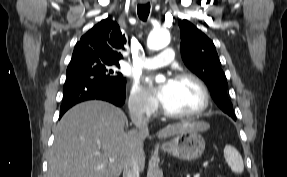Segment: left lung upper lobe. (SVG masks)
Wrapping results in <instances>:
<instances>
[{
    "mask_svg": "<svg viewBox=\"0 0 287 177\" xmlns=\"http://www.w3.org/2000/svg\"><path fill=\"white\" fill-rule=\"evenodd\" d=\"M178 23L181 28L180 49L185 65L206 83L219 108L235 117L227 95V79L213 42L189 21Z\"/></svg>",
    "mask_w": 287,
    "mask_h": 177,
    "instance_id": "obj_1",
    "label": "left lung upper lobe"
}]
</instances>
